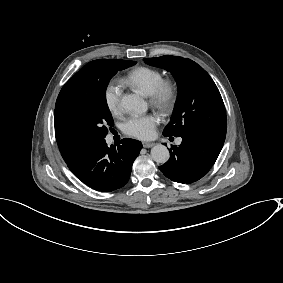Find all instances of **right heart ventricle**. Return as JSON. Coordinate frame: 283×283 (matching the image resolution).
<instances>
[{"mask_svg":"<svg viewBox=\"0 0 283 283\" xmlns=\"http://www.w3.org/2000/svg\"><path fill=\"white\" fill-rule=\"evenodd\" d=\"M162 80L159 70L145 65L130 68L123 77L124 84L139 87L146 94H150Z\"/></svg>","mask_w":283,"mask_h":283,"instance_id":"right-heart-ventricle-1","label":"right heart ventricle"}]
</instances>
